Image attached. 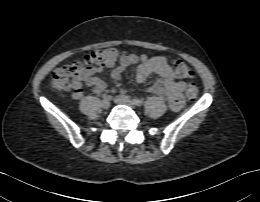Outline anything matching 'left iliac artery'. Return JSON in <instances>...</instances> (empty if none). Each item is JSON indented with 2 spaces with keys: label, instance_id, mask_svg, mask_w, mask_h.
Instances as JSON below:
<instances>
[{
  "label": "left iliac artery",
  "instance_id": "left-iliac-artery-1",
  "mask_svg": "<svg viewBox=\"0 0 260 202\" xmlns=\"http://www.w3.org/2000/svg\"><path fill=\"white\" fill-rule=\"evenodd\" d=\"M133 102L137 106H142L143 105V101L141 99H138V98H133Z\"/></svg>",
  "mask_w": 260,
  "mask_h": 202
}]
</instances>
